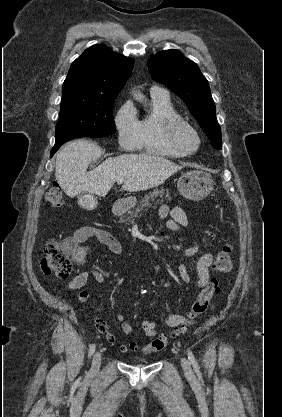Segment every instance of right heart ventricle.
<instances>
[{"label": "right heart ventricle", "instance_id": "1", "mask_svg": "<svg viewBox=\"0 0 282 417\" xmlns=\"http://www.w3.org/2000/svg\"><path fill=\"white\" fill-rule=\"evenodd\" d=\"M131 113L138 122L141 147L159 155H180L178 151L168 144L166 137L162 135L159 129V123L164 117H178L169 98L152 97L151 110L143 117L139 118L134 108H131Z\"/></svg>", "mask_w": 282, "mask_h": 417}]
</instances>
